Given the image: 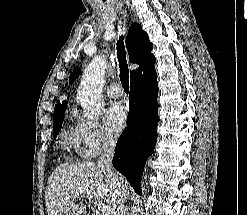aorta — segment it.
<instances>
[{
    "mask_svg": "<svg viewBox=\"0 0 247 215\" xmlns=\"http://www.w3.org/2000/svg\"><path fill=\"white\" fill-rule=\"evenodd\" d=\"M106 69V60L96 56L87 66L77 93L83 109V115L88 120L97 118L103 109L101 93Z\"/></svg>",
    "mask_w": 247,
    "mask_h": 215,
    "instance_id": "762f6f07",
    "label": "aorta"
}]
</instances>
